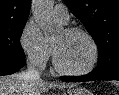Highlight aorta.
I'll use <instances>...</instances> for the list:
<instances>
[{
    "label": "aorta",
    "instance_id": "obj_1",
    "mask_svg": "<svg viewBox=\"0 0 119 95\" xmlns=\"http://www.w3.org/2000/svg\"><path fill=\"white\" fill-rule=\"evenodd\" d=\"M53 5L54 0H33L32 3L33 16L47 39L53 38L63 28L54 18Z\"/></svg>",
    "mask_w": 119,
    "mask_h": 95
}]
</instances>
